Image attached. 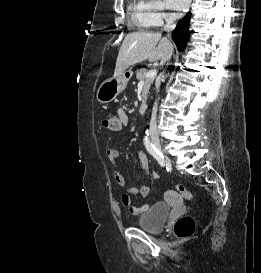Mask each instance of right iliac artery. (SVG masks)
<instances>
[{
    "label": "right iliac artery",
    "instance_id": "1",
    "mask_svg": "<svg viewBox=\"0 0 261 273\" xmlns=\"http://www.w3.org/2000/svg\"><path fill=\"white\" fill-rule=\"evenodd\" d=\"M147 136L144 138V145L147 151L158 161V163L163 167L164 163V156L157 150V148L150 142L148 138V131H146Z\"/></svg>",
    "mask_w": 261,
    "mask_h": 273
}]
</instances>
